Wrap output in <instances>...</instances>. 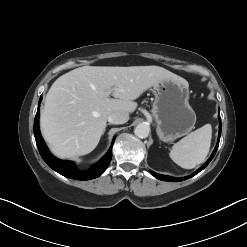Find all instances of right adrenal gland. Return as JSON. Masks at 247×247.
<instances>
[{"mask_svg":"<svg viewBox=\"0 0 247 247\" xmlns=\"http://www.w3.org/2000/svg\"><path fill=\"white\" fill-rule=\"evenodd\" d=\"M107 125H110V124H107ZM107 125H106V126H107ZM105 130H106V127L104 128L103 134H104Z\"/></svg>","mask_w":247,"mask_h":247,"instance_id":"right-adrenal-gland-1","label":"right adrenal gland"}]
</instances>
